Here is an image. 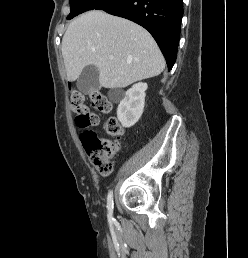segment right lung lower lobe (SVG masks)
Here are the masks:
<instances>
[{
  "instance_id": "1",
  "label": "right lung lower lobe",
  "mask_w": 248,
  "mask_h": 258,
  "mask_svg": "<svg viewBox=\"0 0 248 258\" xmlns=\"http://www.w3.org/2000/svg\"><path fill=\"white\" fill-rule=\"evenodd\" d=\"M99 9L129 19L148 30L171 70L177 56L183 0H112Z\"/></svg>"
}]
</instances>
